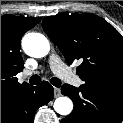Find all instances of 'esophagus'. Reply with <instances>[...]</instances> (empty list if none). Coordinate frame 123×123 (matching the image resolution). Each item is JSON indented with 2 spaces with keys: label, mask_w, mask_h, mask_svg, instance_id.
Listing matches in <instances>:
<instances>
[{
  "label": "esophagus",
  "mask_w": 123,
  "mask_h": 123,
  "mask_svg": "<svg viewBox=\"0 0 123 123\" xmlns=\"http://www.w3.org/2000/svg\"><path fill=\"white\" fill-rule=\"evenodd\" d=\"M61 96V90L59 88H54V97L57 98Z\"/></svg>",
  "instance_id": "obj_1"
}]
</instances>
